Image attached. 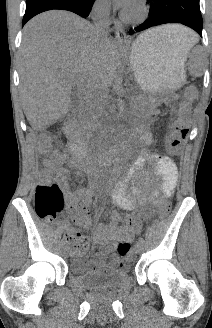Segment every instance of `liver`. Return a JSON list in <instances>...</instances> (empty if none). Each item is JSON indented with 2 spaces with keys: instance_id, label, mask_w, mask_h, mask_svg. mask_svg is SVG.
Returning <instances> with one entry per match:
<instances>
[{
  "instance_id": "1",
  "label": "liver",
  "mask_w": 212,
  "mask_h": 328,
  "mask_svg": "<svg viewBox=\"0 0 212 328\" xmlns=\"http://www.w3.org/2000/svg\"><path fill=\"white\" fill-rule=\"evenodd\" d=\"M145 35L169 40L180 49L197 35L181 25H164ZM116 69V45L91 23L67 11L52 10L23 29L19 57L23 111L39 131L67 114L74 85L86 92L94 83L104 90Z\"/></svg>"
}]
</instances>
